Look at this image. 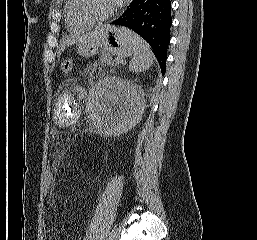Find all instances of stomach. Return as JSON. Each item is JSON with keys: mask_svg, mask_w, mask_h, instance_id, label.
<instances>
[{"mask_svg": "<svg viewBox=\"0 0 257 240\" xmlns=\"http://www.w3.org/2000/svg\"><path fill=\"white\" fill-rule=\"evenodd\" d=\"M99 48H103L107 52L116 54L119 57L130 55L125 29L105 25L103 32L98 37L79 43L77 53L81 57L89 58L94 56Z\"/></svg>", "mask_w": 257, "mask_h": 240, "instance_id": "1", "label": "stomach"}]
</instances>
